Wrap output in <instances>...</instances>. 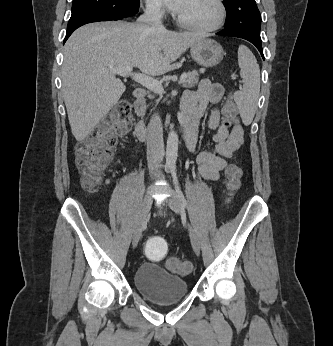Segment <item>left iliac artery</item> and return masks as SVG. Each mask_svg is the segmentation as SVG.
I'll return each instance as SVG.
<instances>
[{
    "instance_id": "44dca946",
    "label": "left iliac artery",
    "mask_w": 333,
    "mask_h": 346,
    "mask_svg": "<svg viewBox=\"0 0 333 346\" xmlns=\"http://www.w3.org/2000/svg\"><path fill=\"white\" fill-rule=\"evenodd\" d=\"M171 174H172V177H173V182H174V185H175V189H176V193L179 197V200L181 202V205L182 207L184 208H187L188 207V203L182 193V190L180 188V184H179V181H178V177H177V173H176V170L175 169H172L171 170Z\"/></svg>"
}]
</instances>
